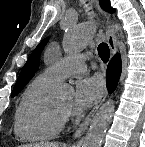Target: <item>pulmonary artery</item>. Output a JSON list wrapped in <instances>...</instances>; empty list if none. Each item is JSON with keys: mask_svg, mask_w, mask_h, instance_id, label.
<instances>
[{"mask_svg": "<svg viewBox=\"0 0 145 147\" xmlns=\"http://www.w3.org/2000/svg\"><path fill=\"white\" fill-rule=\"evenodd\" d=\"M86 68V56L74 54L51 64L44 70L43 74L58 82L69 75L83 72Z\"/></svg>", "mask_w": 145, "mask_h": 147, "instance_id": "obj_1", "label": "pulmonary artery"}]
</instances>
